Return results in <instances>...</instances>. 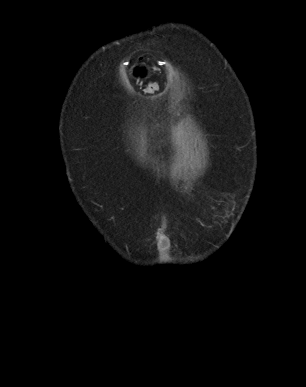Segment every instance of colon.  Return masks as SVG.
<instances>
[{
	"label": "colon",
	"instance_id": "5ec220e1",
	"mask_svg": "<svg viewBox=\"0 0 306 387\" xmlns=\"http://www.w3.org/2000/svg\"><path fill=\"white\" fill-rule=\"evenodd\" d=\"M159 90V86L158 84L156 83H150L147 87H146V93L148 95H154L155 93H157Z\"/></svg>",
	"mask_w": 306,
	"mask_h": 387
}]
</instances>
